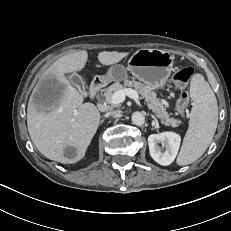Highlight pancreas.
<instances>
[{
	"label": "pancreas",
	"mask_w": 231,
	"mask_h": 231,
	"mask_svg": "<svg viewBox=\"0 0 231 231\" xmlns=\"http://www.w3.org/2000/svg\"><path fill=\"white\" fill-rule=\"evenodd\" d=\"M128 87L134 88V90L141 95V97L147 103L148 108L155 113V115L157 116V118L160 119L162 124H165L167 126L170 125L172 127H177L180 125L181 121L179 119L170 117V115L166 111V106L163 104L162 100L157 98L156 93L152 91L149 86L135 80L126 79L124 80L123 84L120 82H115L109 87L105 88L103 90V96L105 97L106 102L111 104L112 95L116 91L124 90ZM113 106H118V104Z\"/></svg>",
	"instance_id": "cf45deb5"
}]
</instances>
